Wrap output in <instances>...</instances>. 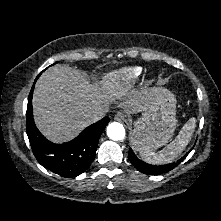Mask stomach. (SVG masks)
Masks as SVG:
<instances>
[{
	"label": "stomach",
	"instance_id": "1",
	"mask_svg": "<svg viewBox=\"0 0 221 221\" xmlns=\"http://www.w3.org/2000/svg\"><path fill=\"white\" fill-rule=\"evenodd\" d=\"M131 146L137 151H154L167 143L176 129V98L164 88L151 89L142 116L131 121Z\"/></svg>",
	"mask_w": 221,
	"mask_h": 221
}]
</instances>
